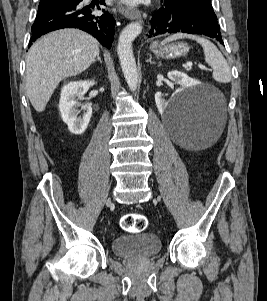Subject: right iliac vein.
<instances>
[{
  "instance_id": "63e3f726",
  "label": "right iliac vein",
  "mask_w": 267,
  "mask_h": 301,
  "mask_svg": "<svg viewBox=\"0 0 267 301\" xmlns=\"http://www.w3.org/2000/svg\"><path fill=\"white\" fill-rule=\"evenodd\" d=\"M110 203H111V200H108V201H107V204H110Z\"/></svg>"
}]
</instances>
